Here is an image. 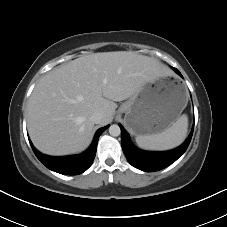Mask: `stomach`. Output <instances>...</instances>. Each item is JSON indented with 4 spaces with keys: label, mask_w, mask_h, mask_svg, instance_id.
<instances>
[{
    "label": "stomach",
    "mask_w": 227,
    "mask_h": 227,
    "mask_svg": "<svg viewBox=\"0 0 227 227\" xmlns=\"http://www.w3.org/2000/svg\"><path fill=\"white\" fill-rule=\"evenodd\" d=\"M187 104L184 88L175 80L145 83L119 108L124 124L134 135L158 134L171 127Z\"/></svg>",
    "instance_id": "stomach-1"
}]
</instances>
